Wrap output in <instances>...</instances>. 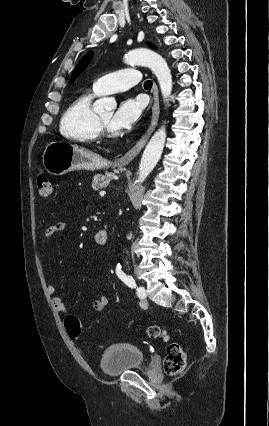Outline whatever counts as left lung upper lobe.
Returning <instances> with one entry per match:
<instances>
[{
    "label": "left lung upper lobe",
    "instance_id": "1",
    "mask_svg": "<svg viewBox=\"0 0 269 426\" xmlns=\"http://www.w3.org/2000/svg\"><path fill=\"white\" fill-rule=\"evenodd\" d=\"M149 46L155 48L152 44H149ZM93 57V52L87 53L78 63V65L75 67L71 74L70 82H73L87 67V65L90 63Z\"/></svg>",
    "mask_w": 269,
    "mask_h": 426
}]
</instances>
